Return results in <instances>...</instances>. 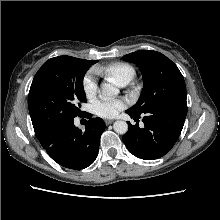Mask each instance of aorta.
I'll return each mask as SVG.
<instances>
[{
  "label": "aorta",
  "instance_id": "aorta-1",
  "mask_svg": "<svg viewBox=\"0 0 220 220\" xmlns=\"http://www.w3.org/2000/svg\"><path fill=\"white\" fill-rule=\"evenodd\" d=\"M119 94V89L112 84L103 83L101 85V95L104 98H111ZM114 131L118 134H125L128 131V124L125 121H116L113 124Z\"/></svg>",
  "mask_w": 220,
  "mask_h": 220
}]
</instances>
